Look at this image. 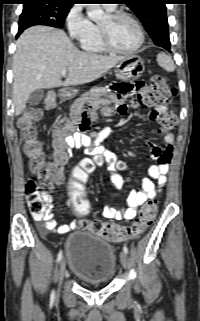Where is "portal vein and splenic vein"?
I'll use <instances>...</instances> for the list:
<instances>
[{"label": "portal vein and splenic vein", "mask_w": 200, "mask_h": 321, "mask_svg": "<svg viewBox=\"0 0 200 321\" xmlns=\"http://www.w3.org/2000/svg\"><path fill=\"white\" fill-rule=\"evenodd\" d=\"M66 74H67V71H63V72L61 73L62 76H65Z\"/></svg>", "instance_id": "18ae733b"}]
</instances>
